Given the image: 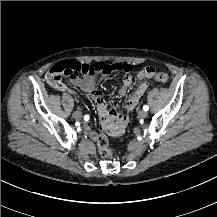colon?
Here are the masks:
<instances>
[{
    "instance_id": "5ec220e1",
    "label": "colon",
    "mask_w": 217,
    "mask_h": 217,
    "mask_svg": "<svg viewBox=\"0 0 217 217\" xmlns=\"http://www.w3.org/2000/svg\"><path fill=\"white\" fill-rule=\"evenodd\" d=\"M131 70V65L128 63H112L107 64L104 62L92 63V64H81L77 63L74 65L59 64L53 67V71H56V74L50 75L48 80L56 85L60 81L65 79L73 78L74 75H88L95 74L98 72H128ZM152 69H148L147 73H151ZM142 72H139L141 74ZM168 76L166 73L158 72L155 75V80L159 82H166ZM97 146L101 154L106 158H111L113 156L112 151L108 148L107 137L105 134L98 133Z\"/></svg>"
}]
</instances>
